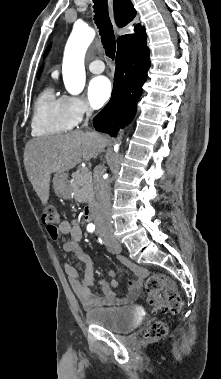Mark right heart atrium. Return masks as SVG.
I'll list each match as a JSON object with an SVG mask.
<instances>
[{
    "label": "right heart atrium",
    "instance_id": "right-heart-atrium-1",
    "mask_svg": "<svg viewBox=\"0 0 221 379\" xmlns=\"http://www.w3.org/2000/svg\"><path fill=\"white\" fill-rule=\"evenodd\" d=\"M62 98L67 112L75 125L80 123L84 118L91 115L92 108L83 97L66 95Z\"/></svg>",
    "mask_w": 221,
    "mask_h": 379
}]
</instances>
